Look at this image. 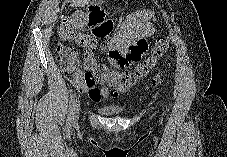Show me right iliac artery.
Instances as JSON below:
<instances>
[{"label": "right iliac artery", "mask_w": 227, "mask_h": 157, "mask_svg": "<svg viewBox=\"0 0 227 157\" xmlns=\"http://www.w3.org/2000/svg\"><path fill=\"white\" fill-rule=\"evenodd\" d=\"M74 106H75V93H73L70 97L69 101V113L67 116V126L71 127L73 118H74Z\"/></svg>", "instance_id": "right-iliac-artery-1"}]
</instances>
